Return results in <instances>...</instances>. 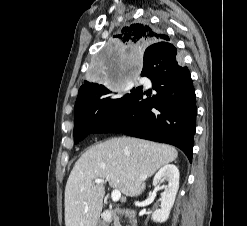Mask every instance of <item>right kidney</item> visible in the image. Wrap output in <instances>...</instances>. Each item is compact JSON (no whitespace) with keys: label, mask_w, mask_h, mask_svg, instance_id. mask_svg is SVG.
<instances>
[{"label":"right kidney","mask_w":247,"mask_h":226,"mask_svg":"<svg viewBox=\"0 0 247 226\" xmlns=\"http://www.w3.org/2000/svg\"><path fill=\"white\" fill-rule=\"evenodd\" d=\"M162 180H167L168 185L163 186L164 192L161 193V209L152 214L154 222H165L169 218L170 210L173 207L176 194L179 188V170L173 164L163 166L153 178V186L156 190L161 189Z\"/></svg>","instance_id":"1"}]
</instances>
